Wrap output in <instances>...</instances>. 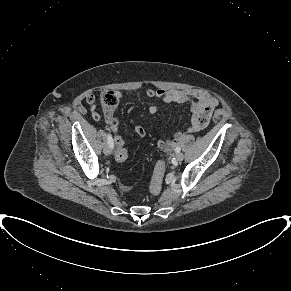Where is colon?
I'll use <instances>...</instances> for the list:
<instances>
[{
	"label": "colon",
	"instance_id": "5ec220e1",
	"mask_svg": "<svg viewBox=\"0 0 291 291\" xmlns=\"http://www.w3.org/2000/svg\"><path fill=\"white\" fill-rule=\"evenodd\" d=\"M119 101V97L116 92L114 91H105L100 98V102L103 108L105 109H112L114 108ZM129 157V149L125 146L118 148L115 152V159L118 162H124ZM166 170V163L164 160H160L157 162L153 177L149 186V191L151 194H158L161 191L163 177Z\"/></svg>",
	"mask_w": 291,
	"mask_h": 291
}]
</instances>
